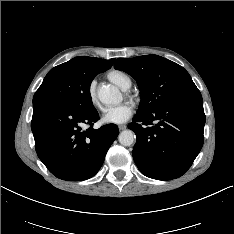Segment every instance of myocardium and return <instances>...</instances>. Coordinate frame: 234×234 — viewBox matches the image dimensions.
I'll list each match as a JSON object with an SVG mask.
<instances>
[{
  "label": "myocardium",
  "instance_id": "myocardium-1",
  "mask_svg": "<svg viewBox=\"0 0 234 234\" xmlns=\"http://www.w3.org/2000/svg\"><path fill=\"white\" fill-rule=\"evenodd\" d=\"M125 96L132 101L136 100V95L129 90L125 91Z\"/></svg>",
  "mask_w": 234,
  "mask_h": 234
}]
</instances>
